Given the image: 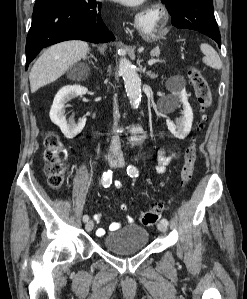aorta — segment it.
Instances as JSON below:
<instances>
[{
    "label": "aorta",
    "mask_w": 247,
    "mask_h": 299,
    "mask_svg": "<svg viewBox=\"0 0 247 299\" xmlns=\"http://www.w3.org/2000/svg\"><path fill=\"white\" fill-rule=\"evenodd\" d=\"M119 73L123 77L125 90L134 109L139 107L141 102V79L138 76L135 67L131 62L122 57L119 61ZM143 130L141 128H133L131 140L138 141L142 137Z\"/></svg>",
    "instance_id": "obj_1"
}]
</instances>
